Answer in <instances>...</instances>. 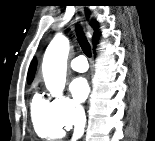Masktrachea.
<instances>
[{
  "mask_svg": "<svg viewBox=\"0 0 155 141\" xmlns=\"http://www.w3.org/2000/svg\"><path fill=\"white\" fill-rule=\"evenodd\" d=\"M76 35H77L78 42H79L83 52L85 53V55L88 57H91L90 44L87 41L86 37L84 36L81 28L78 27L76 29Z\"/></svg>",
  "mask_w": 155,
  "mask_h": 141,
  "instance_id": "trachea-1",
  "label": "trachea"
}]
</instances>
